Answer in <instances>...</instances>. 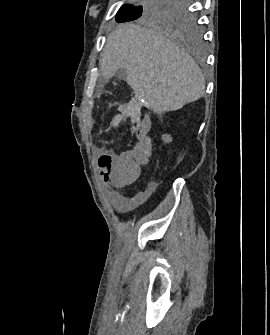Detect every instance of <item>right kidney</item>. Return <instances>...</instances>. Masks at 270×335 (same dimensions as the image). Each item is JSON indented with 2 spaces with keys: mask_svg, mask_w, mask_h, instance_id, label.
Here are the masks:
<instances>
[{
  "mask_svg": "<svg viewBox=\"0 0 270 335\" xmlns=\"http://www.w3.org/2000/svg\"><path fill=\"white\" fill-rule=\"evenodd\" d=\"M162 140H163V142H165V144H169V142H171L172 138H170V136H168V134H163Z\"/></svg>",
  "mask_w": 270,
  "mask_h": 335,
  "instance_id": "obj_1",
  "label": "right kidney"
}]
</instances>
